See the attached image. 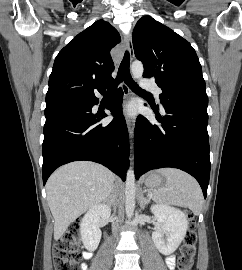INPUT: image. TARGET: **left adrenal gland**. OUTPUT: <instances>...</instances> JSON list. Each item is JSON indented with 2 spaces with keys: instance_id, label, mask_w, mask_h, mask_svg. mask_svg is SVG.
<instances>
[{
  "instance_id": "obj_1",
  "label": "left adrenal gland",
  "mask_w": 242,
  "mask_h": 270,
  "mask_svg": "<svg viewBox=\"0 0 242 270\" xmlns=\"http://www.w3.org/2000/svg\"><path fill=\"white\" fill-rule=\"evenodd\" d=\"M148 201L149 200L144 197V194L141 193V196H140V199H139L141 209L145 208V205L148 203Z\"/></svg>"
}]
</instances>
